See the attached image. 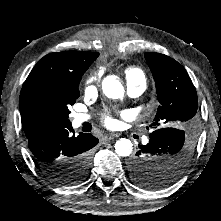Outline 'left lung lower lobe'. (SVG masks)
I'll list each match as a JSON object with an SVG mask.
<instances>
[{
	"label": "left lung lower lobe",
	"mask_w": 221,
	"mask_h": 221,
	"mask_svg": "<svg viewBox=\"0 0 221 221\" xmlns=\"http://www.w3.org/2000/svg\"><path fill=\"white\" fill-rule=\"evenodd\" d=\"M174 134L175 132L172 131L170 128L158 129L150 134V141L147 145L138 146L139 150L136 152L135 156L131 159L129 164V170L132 180L134 178H140L141 176L149 175V183L152 185V187H154L162 179H169L162 178L164 175L157 172L158 170H152V174L146 173V171H148V167L144 159V155L148 151H150L156 144L163 142L164 139H167L168 141L175 139L176 136H174Z\"/></svg>",
	"instance_id": "0a47b994"
}]
</instances>
